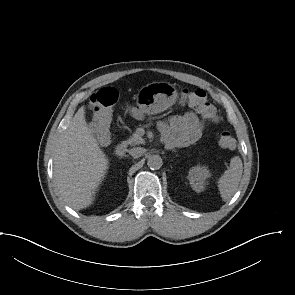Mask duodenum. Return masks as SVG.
Masks as SVG:
<instances>
[{
  "label": "duodenum",
  "mask_w": 295,
  "mask_h": 295,
  "mask_svg": "<svg viewBox=\"0 0 295 295\" xmlns=\"http://www.w3.org/2000/svg\"><path fill=\"white\" fill-rule=\"evenodd\" d=\"M116 156L122 157L126 153V145L124 143H119L116 145L115 150H114Z\"/></svg>",
  "instance_id": "410a0bca"
}]
</instances>
